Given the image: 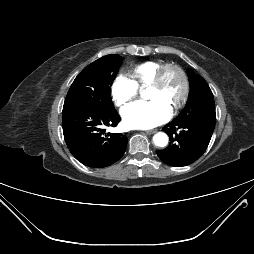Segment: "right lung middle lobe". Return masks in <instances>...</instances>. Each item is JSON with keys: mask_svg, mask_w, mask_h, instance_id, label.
Segmentation results:
<instances>
[{"mask_svg": "<svg viewBox=\"0 0 254 254\" xmlns=\"http://www.w3.org/2000/svg\"><path fill=\"white\" fill-rule=\"evenodd\" d=\"M123 57L106 55L85 67L72 83L65 102L96 110H114L110 86Z\"/></svg>", "mask_w": 254, "mask_h": 254, "instance_id": "1", "label": "right lung middle lobe"}]
</instances>
